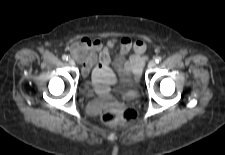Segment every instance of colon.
<instances>
[{
    "label": "colon",
    "instance_id": "colon-1",
    "mask_svg": "<svg viewBox=\"0 0 225 155\" xmlns=\"http://www.w3.org/2000/svg\"><path fill=\"white\" fill-rule=\"evenodd\" d=\"M137 118V111L133 107H113L101 114L102 121L107 125L133 121Z\"/></svg>",
    "mask_w": 225,
    "mask_h": 155
}]
</instances>
